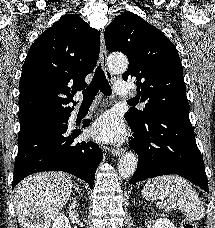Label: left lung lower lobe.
Segmentation results:
<instances>
[{"label": "left lung lower lobe", "mask_w": 215, "mask_h": 228, "mask_svg": "<svg viewBox=\"0 0 215 228\" xmlns=\"http://www.w3.org/2000/svg\"><path fill=\"white\" fill-rule=\"evenodd\" d=\"M131 126L130 147L139 157L130 184L160 175L177 174L208 191L204 162L186 111L151 115L145 125Z\"/></svg>", "instance_id": "obj_1"}]
</instances>
